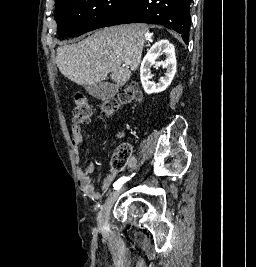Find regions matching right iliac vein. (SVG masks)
<instances>
[{
	"label": "right iliac vein",
	"instance_id": "63e3f726",
	"mask_svg": "<svg viewBox=\"0 0 256 267\" xmlns=\"http://www.w3.org/2000/svg\"><path fill=\"white\" fill-rule=\"evenodd\" d=\"M123 190L124 187L119 188L116 191L112 192L110 196L107 198L101 210L99 211L97 221H98V226L100 228H104L108 224L111 208Z\"/></svg>",
	"mask_w": 256,
	"mask_h": 267
}]
</instances>
